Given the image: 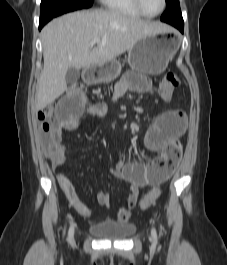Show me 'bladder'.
Instances as JSON below:
<instances>
[{"mask_svg":"<svg viewBox=\"0 0 227 265\" xmlns=\"http://www.w3.org/2000/svg\"><path fill=\"white\" fill-rule=\"evenodd\" d=\"M135 230L132 224L96 223L89 231L96 237L107 240H122L130 237Z\"/></svg>","mask_w":227,"mask_h":265,"instance_id":"1","label":"bladder"}]
</instances>
